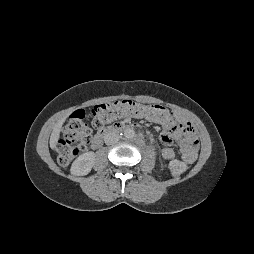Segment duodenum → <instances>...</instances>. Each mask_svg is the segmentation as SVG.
I'll list each match as a JSON object with an SVG mask.
<instances>
[{"label": "duodenum", "instance_id": "1", "mask_svg": "<svg viewBox=\"0 0 254 254\" xmlns=\"http://www.w3.org/2000/svg\"><path fill=\"white\" fill-rule=\"evenodd\" d=\"M133 129H134L133 125H128L125 123L112 124L108 126L107 128H104L98 134L94 136V138L91 141V146L93 148H99L103 142L104 137L112 132L130 131Z\"/></svg>", "mask_w": 254, "mask_h": 254}]
</instances>
